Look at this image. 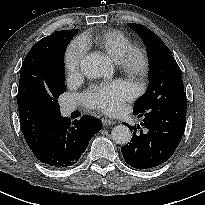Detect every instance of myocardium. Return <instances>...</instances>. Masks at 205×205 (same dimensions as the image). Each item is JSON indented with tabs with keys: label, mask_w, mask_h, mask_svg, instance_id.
<instances>
[{
	"label": "myocardium",
	"mask_w": 205,
	"mask_h": 205,
	"mask_svg": "<svg viewBox=\"0 0 205 205\" xmlns=\"http://www.w3.org/2000/svg\"><path fill=\"white\" fill-rule=\"evenodd\" d=\"M118 65L125 74L143 80L150 66L148 53L142 47L133 46L124 54Z\"/></svg>",
	"instance_id": "obj_1"
}]
</instances>
